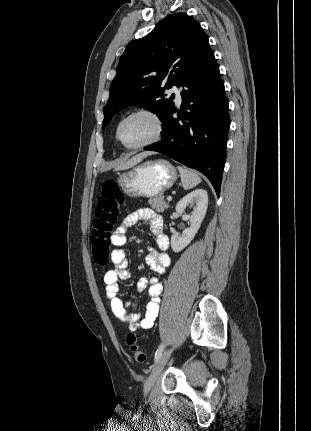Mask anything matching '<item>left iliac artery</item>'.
I'll use <instances>...</instances> for the list:
<instances>
[{
	"instance_id": "44dca946",
	"label": "left iliac artery",
	"mask_w": 311,
	"mask_h": 431,
	"mask_svg": "<svg viewBox=\"0 0 311 431\" xmlns=\"http://www.w3.org/2000/svg\"><path fill=\"white\" fill-rule=\"evenodd\" d=\"M163 349H164V345L161 344L155 353V362H157L160 356L162 355Z\"/></svg>"
}]
</instances>
